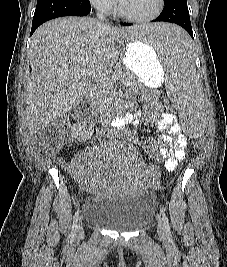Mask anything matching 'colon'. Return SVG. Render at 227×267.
Here are the masks:
<instances>
[{
    "mask_svg": "<svg viewBox=\"0 0 227 267\" xmlns=\"http://www.w3.org/2000/svg\"><path fill=\"white\" fill-rule=\"evenodd\" d=\"M164 108L167 109L169 116H174L178 112L174 104H165ZM68 133L64 125L60 122L51 123L49 126L41 130L38 134V144L49 152L59 151L66 142ZM197 154V149H189L187 153L181 155L177 166V171H188V164ZM154 192H165V187H154Z\"/></svg>",
    "mask_w": 227,
    "mask_h": 267,
    "instance_id": "colon-1",
    "label": "colon"
}]
</instances>
